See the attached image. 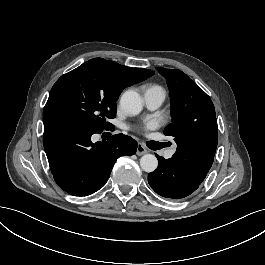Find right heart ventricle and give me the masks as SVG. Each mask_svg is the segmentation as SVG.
<instances>
[{
	"mask_svg": "<svg viewBox=\"0 0 265 265\" xmlns=\"http://www.w3.org/2000/svg\"><path fill=\"white\" fill-rule=\"evenodd\" d=\"M152 87L157 88L158 90H160L162 96L164 95V90H163V88H162L161 86H159V85H151L150 88H152ZM150 88H149V89H150ZM147 91H148V90H147ZM147 91H146V92H147Z\"/></svg>",
	"mask_w": 265,
	"mask_h": 265,
	"instance_id": "obj_1",
	"label": "right heart ventricle"
}]
</instances>
